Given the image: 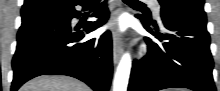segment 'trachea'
<instances>
[{
    "label": "trachea",
    "mask_w": 220,
    "mask_h": 91,
    "mask_svg": "<svg viewBox=\"0 0 220 91\" xmlns=\"http://www.w3.org/2000/svg\"><path fill=\"white\" fill-rule=\"evenodd\" d=\"M124 2L138 7H146L144 3L138 0H124Z\"/></svg>",
    "instance_id": "obj_1"
}]
</instances>
